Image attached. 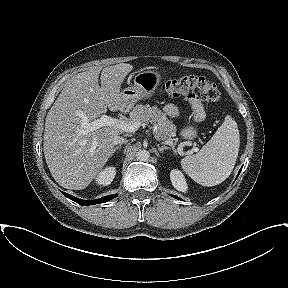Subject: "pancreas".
<instances>
[{
  "mask_svg": "<svg viewBox=\"0 0 288 288\" xmlns=\"http://www.w3.org/2000/svg\"><path fill=\"white\" fill-rule=\"evenodd\" d=\"M128 122L132 123L135 121L140 122L141 125L148 123H157L159 133L157 137L159 139H170L176 134V126L166 115L158 109L156 106L150 105H136L133 110L129 113Z\"/></svg>",
  "mask_w": 288,
  "mask_h": 288,
  "instance_id": "obj_1",
  "label": "pancreas"
}]
</instances>
